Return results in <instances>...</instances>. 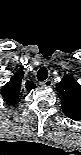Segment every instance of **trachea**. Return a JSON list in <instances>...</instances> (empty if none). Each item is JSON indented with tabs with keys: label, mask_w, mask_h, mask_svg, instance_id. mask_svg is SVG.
Here are the masks:
<instances>
[{
	"label": "trachea",
	"mask_w": 81,
	"mask_h": 155,
	"mask_svg": "<svg viewBox=\"0 0 81 155\" xmlns=\"http://www.w3.org/2000/svg\"><path fill=\"white\" fill-rule=\"evenodd\" d=\"M48 77V70L46 68H41L38 72H37V79L39 81H44L46 80Z\"/></svg>",
	"instance_id": "trachea-1"
}]
</instances>
